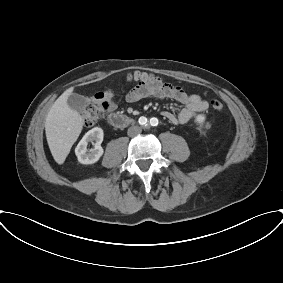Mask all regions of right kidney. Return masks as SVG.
I'll use <instances>...</instances> for the list:
<instances>
[{
    "label": "right kidney",
    "mask_w": 283,
    "mask_h": 283,
    "mask_svg": "<svg viewBox=\"0 0 283 283\" xmlns=\"http://www.w3.org/2000/svg\"><path fill=\"white\" fill-rule=\"evenodd\" d=\"M103 137L104 133L102 128L95 127L89 130L75 148V154L78 162L86 165L97 162L104 153V150L101 146ZM89 142L94 145V148L88 151L87 145Z\"/></svg>",
    "instance_id": "1"
}]
</instances>
